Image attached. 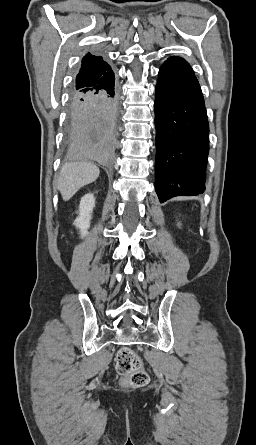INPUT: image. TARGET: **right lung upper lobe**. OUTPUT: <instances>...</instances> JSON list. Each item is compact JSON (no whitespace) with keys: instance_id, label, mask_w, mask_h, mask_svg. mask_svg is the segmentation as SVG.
Here are the masks:
<instances>
[{"instance_id":"cb5924a9","label":"right lung upper lobe","mask_w":256,"mask_h":445,"mask_svg":"<svg viewBox=\"0 0 256 445\" xmlns=\"http://www.w3.org/2000/svg\"><path fill=\"white\" fill-rule=\"evenodd\" d=\"M113 75L111 66L102 56L86 54L81 63V68L76 76L73 93L84 88H96L110 80Z\"/></svg>"}]
</instances>
